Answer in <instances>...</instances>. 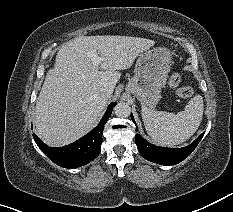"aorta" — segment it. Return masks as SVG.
<instances>
[{
  "mask_svg": "<svg viewBox=\"0 0 233 212\" xmlns=\"http://www.w3.org/2000/svg\"><path fill=\"white\" fill-rule=\"evenodd\" d=\"M115 114L118 117L125 118L131 113V108L127 103L120 102L115 106Z\"/></svg>",
  "mask_w": 233,
  "mask_h": 212,
  "instance_id": "762f6f07",
  "label": "aorta"
}]
</instances>
